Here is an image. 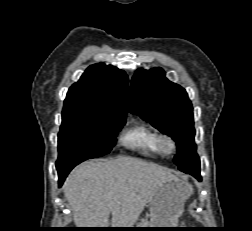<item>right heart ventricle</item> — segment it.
I'll list each match as a JSON object with an SVG mask.
<instances>
[{"mask_svg":"<svg viewBox=\"0 0 252 231\" xmlns=\"http://www.w3.org/2000/svg\"><path fill=\"white\" fill-rule=\"evenodd\" d=\"M158 136L151 126L138 122L122 132L119 142L123 147L143 156L156 157L161 155L157 144Z\"/></svg>","mask_w":252,"mask_h":231,"instance_id":"right-heart-ventricle-1","label":"right heart ventricle"}]
</instances>
